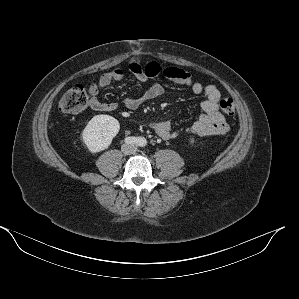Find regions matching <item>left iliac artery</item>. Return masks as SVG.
Wrapping results in <instances>:
<instances>
[{
  "label": "left iliac artery",
  "instance_id": "obj_1",
  "mask_svg": "<svg viewBox=\"0 0 299 299\" xmlns=\"http://www.w3.org/2000/svg\"><path fill=\"white\" fill-rule=\"evenodd\" d=\"M145 139H143V138H139V140H138V145L139 146H144L145 145Z\"/></svg>",
  "mask_w": 299,
  "mask_h": 299
}]
</instances>
